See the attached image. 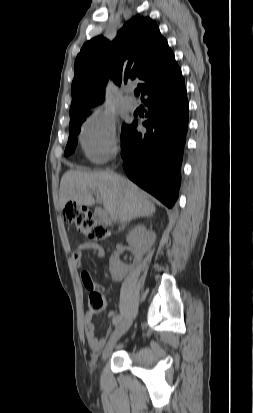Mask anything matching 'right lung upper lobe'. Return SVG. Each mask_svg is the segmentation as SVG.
Returning a JSON list of instances; mask_svg holds the SVG:
<instances>
[{"label":"right lung upper lobe","mask_w":253,"mask_h":413,"mask_svg":"<svg viewBox=\"0 0 253 413\" xmlns=\"http://www.w3.org/2000/svg\"><path fill=\"white\" fill-rule=\"evenodd\" d=\"M108 78L120 86L139 81L142 101L184 85L181 70L166 39L149 17L137 15L124 24L114 41L103 36L87 41L75 60L70 120L104 100Z\"/></svg>","instance_id":"1"}]
</instances>
